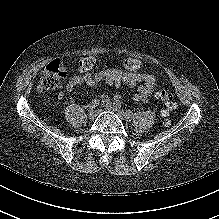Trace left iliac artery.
I'll use <instances>...</instances> for the list:
<instances>
[{"instance_id": "left-iliac-artery-1", "label": "left iliac artery", "mask_w": 219, "mask_h": 219, "mask_svg": "<svg viewBox=\"0 0 219 219\" xmlns=\"http://www.w3.org/2000/svg\"><path fill=\"white\" fill-rule=\"evenodd\" d=\"M114 105H116L117 107L121 108V102L118 101V100H116V101L114 102Z\"/></svg>"}]
</instances>
